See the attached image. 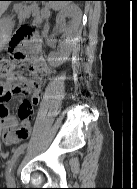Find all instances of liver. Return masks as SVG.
Wrapping results in <instances>:
<instances>
[{"mask_svg":"<svg viewBox=\"0 0 137 189\" xmlns=\"http://www.w3.org/2000/svg\"><path fill=\"white\" fill-rule=\"evenodd\" d=\"M10 2L9 1H0V17L5 12V10L8 8Z\"/></svg>","mask_w":137,"mask_h":189,"instance_id":"liver-1","label":"liver"}]
</instances>
